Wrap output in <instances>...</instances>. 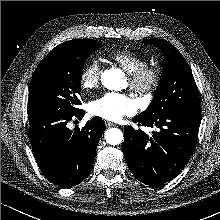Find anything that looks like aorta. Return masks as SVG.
<instances>
[{"label":"aorta","instance_id":"762f6f07","mask_svg":"<svg viewBox=\"0 0 220 220\" xmlns=\"http://www.w3.org/2000/svg\"><path fill=\"white\" fill-rule=\"evenodd\" d=\"M101 82L108 90H120L125 83L124 73L119 69L105 70L101 75ZM123 133L120 129L111 128L105 133L106 142L110 145H118L123 141Z\"/></svg>","mask_w":220,"mask_h":220}]
</instances>
